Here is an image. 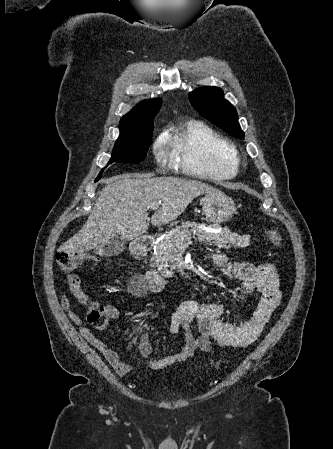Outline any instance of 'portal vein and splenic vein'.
I'll list each match as a JSON object with an SVG mask.
<instances>
[{
  "mask_svg": "<svg viewBox=\"0 0 333 449\" xmlns=\"http://www.w3.org/2000/svg\"><path fill=\"white\" fill-rule=\"evenodd\" d=\"M160 204H161V202L153 203V204L150 205V208L155 210V209H157L159 207Z\"/></svg>",
  "mask_w": 333,
  "mask_h": 449,
  "instance_id": "1",
  "label": "portal vein and splenic vein"
}]
</instances>
